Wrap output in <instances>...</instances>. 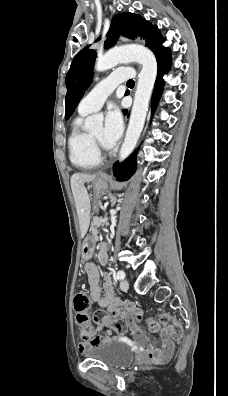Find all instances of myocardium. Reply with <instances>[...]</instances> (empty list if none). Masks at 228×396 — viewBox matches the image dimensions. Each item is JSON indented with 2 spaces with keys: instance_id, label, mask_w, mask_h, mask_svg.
I'll return each instance as SVG.
<instances>
[{
  "instance_id": "f54148a6",
  "label": "myocardium",
  "mask_w": 228,
  "mask_h": 396,
  "mask_svg": "<svg viewBox=\"0 0 228 396\" xmlns=\"http://www.w3.org/2000/svg\"><path fill=\"white\" fill-rule=\"evenodd\" d=\"M91 139L99 156L109 151V149L104 146L93 134H91Z\"/></svg>"
}]
</instances>
